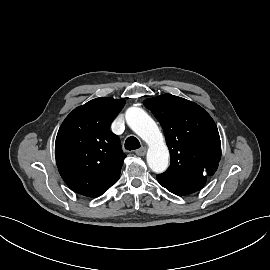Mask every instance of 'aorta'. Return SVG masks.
Listing matches in <instances>:
<instances>
[{
    "label": "aorta",
    "instance_id": "1",
    "mask_svg": "<svg viewBox=\"0 0 270 270\" xmlns=\"http://www.w3.org/2000/svg\"><path fill=\"white\" fill-rule=\"evenodd\" d=\"M130 128L149 146L147 163L155 173L164 172L169 164V150L155 121L139 107H131L125 114Z\"/></svg>",
    "mask_w": 270,
    "mask_h": 270
}]
</instances>
